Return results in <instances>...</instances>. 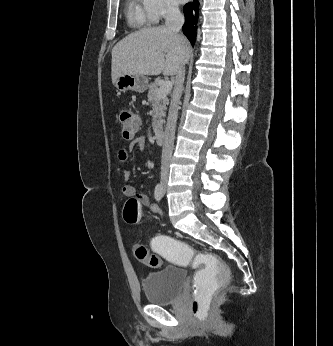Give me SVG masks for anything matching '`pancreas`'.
Listing matches in <instances>:
<instances>
[{
  "mask_svg": "<svg viewBox=\"0 0 333 346\" xmlns=\"http://www.w3.org/2000/svg\"><path fill=\"white\" fill-rule=\"evenodd\" d=\"M159 90V81H155L149 85L148 101L152 104L153 118L152 127L156 133L162 129L164 118L166 116V110L168 105V98L166 96L158 97L157 92Z\"/></svg>",
  "mask_w": 333,
  "mask_h": 346,
  "instance_id": "cf45deb5",
  "label": "pancreas"
}]
</instances>
